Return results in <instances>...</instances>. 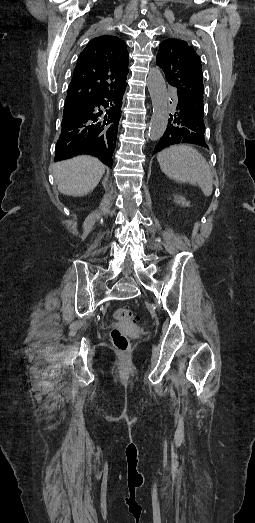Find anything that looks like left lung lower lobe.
I'll return each mask as SVG.
<instances>
[{
  "label": "left lung lower lobe",
  "instance_id": "left-lung-lower-lobe-1",
  "mask_svg": "<svg viewBox=\"0 0 255 523\" xmlns=\"http://www.w3.org/2000/svg\"><path fill=\"white\" fill-rule=\"evenodd\" d=\"M173 114H168V127L163 130V137L157 142L160 148L169 146H195L200 145L203 150L210 149V144L205 140L206 125L191 115L190 107L185 106L180 100L174 104ZM154 147L152 152L159 154L161 149Z\"/></svg>",
  "mask_w": 255,
  "mask_h": 523
}]
</instances>
